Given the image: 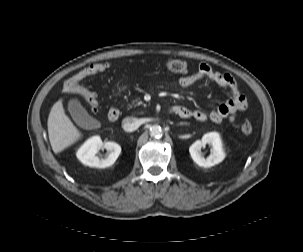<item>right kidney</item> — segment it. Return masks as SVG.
<instances>
[{
    "instance_id": "1",
    "label": "right kidney",
    "mask_w": 303,
    "mask_h": 252,
    "mask_svg": "<svg viewBox=\"0 0 303 252\" xmlns=\"http://www.w3.org/2000/svg\"><path fill=\"white\" fill-rule=\"evenodd\" d=\"M101 149H106V158L97 156ZM121 153V147L115 142H102L99 136L88 139L77 151V158L89 167L106 168L114 164Z\"/></svg>"
}]
</instances>
